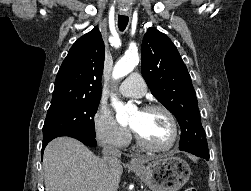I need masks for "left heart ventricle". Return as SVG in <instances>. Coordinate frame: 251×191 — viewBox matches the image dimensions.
Instances as JSON below:
<instances>
[{"label": "left heart ventricle", "mask_w": 251, "mask_h": 191, "mask_svg": "<svg viewBox=\"0 0 251 191\" xmlns=\"http://www.w3.org/2000/svg\"><path fill=\"white\" fill-rule=\"evenodd\" d=\"M131 124L152 146L166 147L173 140L172 124L162 111H141L135 113Z\"/></svg>", "instance_id": "left-heart-ventricle-1"}]
</instances>
